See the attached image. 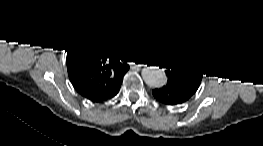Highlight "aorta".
Listing matches in <instances>:
<instances>
[{"label": "aorta", "instance_id": "762f6f07", "mask_svg": "<svg viewBox=\"0 0 263 146\" xmlns=\"http://www.w3.org/2000/svg\"><path fill=\"white\" fill-rule=\"evenodd\" d=\"M145 83L151 87H160L165 82V76L154 67H145L141 71Z\"/></svg>", "mask_w": 263, "mask_h": 146}]
</instances>
